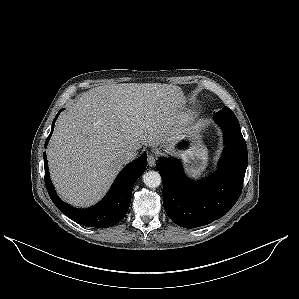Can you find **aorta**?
<instances>
[{
  "instance_id": "762f6f07",
  "label": "aorta",
  "mask_w": 299,
  "mask_h": 299,
  "mask_svg": "<svg viewBox=\"0 0 299 299\" xmlns=\"http://www.w3.org/2000/svg\"><path fill=\"white\" fill-rule=\"evenodd\" d=\"M143 182L149 188H156L162 182L161 175L157 171L150 170L143 174Z\"/></svg>"
}]
</instances>
